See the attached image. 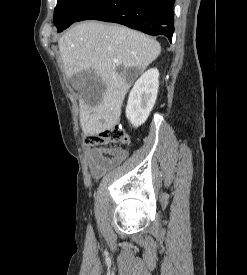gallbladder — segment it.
<instances>
[{
  "label": "gallbladder",
  "instance_id": "obj_1",
  "mask_svg": "<svg viewBox=\"0 0 247 275\" xmlns=\"http://www.w3.org/2000/svg\"><path fill=\"white\" fill-rule=\"evenodd\" d=\"M70 84L75 88L81 97L88 100L93 95L104 91V84L93 73L80 72L69 78Z\"/></svg>",
  "mask_w": 247,
  "mask_h": 275
}]
</instances>
